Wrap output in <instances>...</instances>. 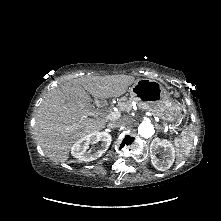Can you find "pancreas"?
<instances>
[{
    "instance_id": "cf45deb5",
    "label": "pancreas",
    "mask_w": 221,
    "mask_h": 221,
    "mask_svg": "<svg viewBox=\"0 0 221 221\" xmlns=\"http://www.w3.org/2000/svg\"><path fill=\"white\" fill-rule=\"evenodd\" d=\"M119 107L122 111L129 112L132 107V99L131 98L127 99L125 97L121 98L119 102Z\"/></svg>"
}]
</instances>
